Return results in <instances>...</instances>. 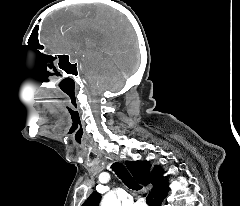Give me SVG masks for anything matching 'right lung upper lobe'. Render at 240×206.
<instances>
[{
	"instance_id": "obj_1",
	"label": "right lung upper lobe",
	"mask_w": 240,
	"mask_h": 206,
	"mask_svg": "<svg viewBox=\"0 0 240 206\" xmlns=\"http://www.w3.org/2000/svg\"><path fill=\"white\" fill-rule=\"evenodd\" d=\"M126 166L132 173L133 177L142 185L151 184L154 200L167 194L168 184L167 179L162 177L163 170L160 167H155L153 172L149 171V164L142 161H126ZM101 195L98 192H93L82 206H98Z\"/></svg>"
}]
</instances>
